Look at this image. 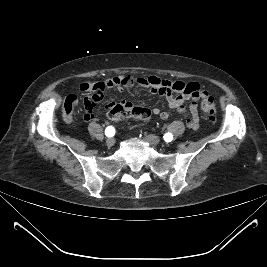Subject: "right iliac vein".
Listing matches in <instances>:
<instances>
[{
    "mask_svg": "<svg viewBox=\"0 0 267 267\" xmlns=\"http://www.w3.org/2000/svg\"><path fill=\"white\" fill-rule=\"evenodd\" d=\"M114 144H115V139H114V138H108V139L106 140V145H107L108 147H112Z\"/></svg>",
    "mask_w": 267,
    "mask_h": 267,
    "instance_id": "right-iliac-vein-1",
    "label": "right iliac vein"
}]
</instances>
